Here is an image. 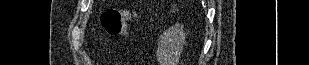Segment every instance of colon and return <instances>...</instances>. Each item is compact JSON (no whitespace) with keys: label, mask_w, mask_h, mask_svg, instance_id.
<instances>
[{"label":"colon","mask_w":309,"mask_h":65,"mask_svg":"<svg viewBox=\"0 0 309 65\" xmlns=\"http://www.w3.org/2000/svg\"><path fill=\"white\" fill-rule=\"evenodd\" d=\"M133 17L134 13L129 10L111 8L102 13L100 23L108 34L118 36L125 33L127 23Z\"/></svg>","instance_id":"colon-1"}]
</instances>
